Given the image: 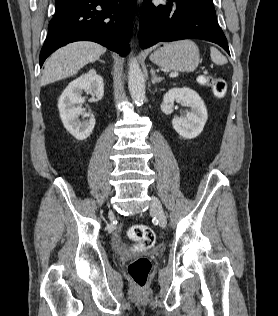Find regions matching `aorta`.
<instances>
[{
  "label": "aorta",
  "instance_id": "aorta-1",
  "mask_svg": "<svg viewBox=\"0 0 278 316\" xmlns=\"http://www.w3.org/2000/svg\"><path fill=\"white\" fill-rule=\"evenodd\" d=\"M128 87L133 101L142 105L145 97V80L141 68L135 58H131L128 75Z\"/></svg>",
  "mask_w": 278,
  "mask_h": 316
}]
</instances>
